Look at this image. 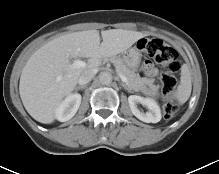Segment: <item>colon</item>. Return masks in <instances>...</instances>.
Segmentation results:
<instances>
[{
	"instance_id": "colon-1",
	"label": "colon",
	"mask_w": 219,
	"mask_h": 174,
	"mask_svg": "<svg viewBox=\"0 0 219 174\" xmlns=\"http://www.w3.org/2000/svg\"><path fill=\"white\" fill-rule=\"evenodd\" d=\"M139 46L161 65L162 91L166 98L164 116L166 119H172L178 112V106L173 100L177 85L176 72L180 68L178 53L159 38L142 39L139 41Z\"/></svg>"
}]
</instances>
